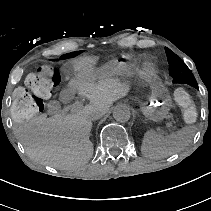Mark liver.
Returning a JSON list of instances; mask_svg holds the SVG:
<instances>
[{"instance_id": "obj_1", "label": "liver", "mask_w": 211, "mask_h": 211, "mask_svg": "<svg viewBox=\"0 0 211 211\" xmlns=\"http://www.w3.org/2000/svg\"><path fill=\"white\" fill-rule=\"evenodd\" d=\"M89 65L75 67L78 73L69 81V87L78 86L86 92L90 105L106 113L114 101L126 95L123 85L110 81L92 85L86 76ZM14 135L24 145L28 155L57 169L71 170L89 161L93 144L89 140L92 122L83 109L73 115L46 114L29 121L15 122Z\"/></svg>"}]
</instances>
